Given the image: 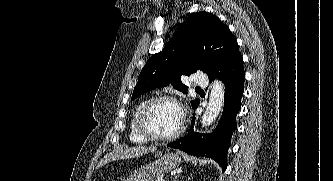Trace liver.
<instances>
[{
	"instance_id": "6515ba94",
	"label": "liver",
	"mask_w": 333,
	"mask_h": 181,
	"mask_svg": "<svg viewBox=\"0 0 333 181\" xmlns=\"http://www.w3.org/2000/svg\"><path fill=\"white\" fill-rule=\"evenodd\" d=\"M155 151H156V146L119 147L115 149L113 152L104 156V158L97 165V168H100L101 166L115 160L140 157L147 153H154Z\"/></svg>"
}]
</instances>
